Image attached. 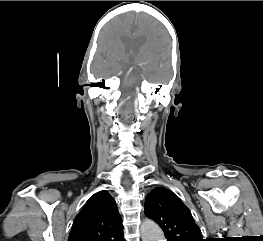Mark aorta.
I'll return each mask as SVG.
<instances>
[{"label": "aorta", "mask_w": 263, "mask_h": 241, "mask_svg": "<svg viewBox=\"0 0 263 241\" xmlns=\"http://www.w3.org/2000/svg\"><path fill=\"white\" fill-rule=\"evenodd\" d=\"M142 241H164V235L159 226L146 219L140 227Z\"/></svg>", "instance_id": "1"}]
</instances>
